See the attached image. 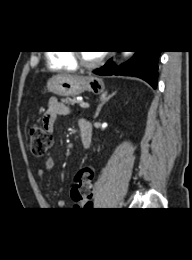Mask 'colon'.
Segmentation results:
<instances>
[{
  "instance_id": "5ec220e1",
  "label": "colon",
  "mask_w": 192,
  "mask_h": 260,
  "mask_svg": "<svg viewBox=\"0 0 192 260\" xmlns=\"http://www.w3.org/2000/svg\"><path fill=\"white\" fill-rule=\"evenodd\" d=\"M30 149L34 156L42 157L51 146L52 138L43 124L29 126ZM95 172L92 167L81 168L75 175L71 190L72 199L82 205H89L94 194Z\"/></svg>"
}]
</instances>
